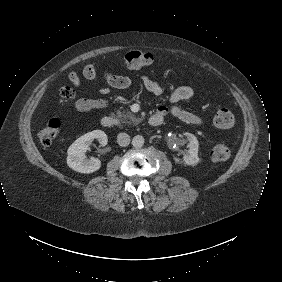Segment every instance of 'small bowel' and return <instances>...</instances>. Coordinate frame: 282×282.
<instances>
[{"label": "small bowel", "mask_w": 282, "mask_h": 282, "mask_svg": "<svg viewBox=\"0 0 282 282\" xmlns=\"http://www.w3.org/2000/svg\"><path fill=\"white\" fill-rule=\"evenodd\" d=\"M82 75L88 80H103L108 87L97 92L96 97L80 98L75 102V109L80 112L100 110L108 107L109 102L103 95L109 92V88L126 89L132 85V80L126 76L114 74L109 71L100 72L95 65L87 64L82 69ZM69 82L76 88L81 86V77L76 71H70L67 75ZM138 83L155 96H161L164 92L163 83L153 80L148 76H141ZM194 90L190 86H180L176 88L169 97V107L160 106L153 115L161 116L164 120L169 113L176 119L190 125L201 126L204 120L198 114L181 108L178 104L192 98Z\"/></svg>", "instance_id": "c3829d8e"}]
</instances>
